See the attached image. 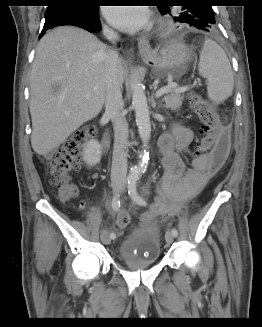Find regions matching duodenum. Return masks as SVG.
<instances>
[{"mask_svg": "<svg viewBox=\"0 0 262 327\" xmlns=\"http://www.w3.org/2000/svg\"><path fill=\"white\" fill-rule=\"evenodd\" d=\"M102 146L104 152H106L109 149L110 146V136L109 133H105L103 139H102Z\"/></svg>", "mask_w": 262, "mask_h": 327, "instance_id": "duodenum-1", "label": "duodenum"}]
</instances>
